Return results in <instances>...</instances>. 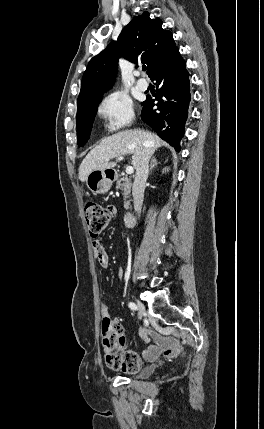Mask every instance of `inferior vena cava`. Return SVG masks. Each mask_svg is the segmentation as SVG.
Returning <instances> with one entry per match:
<instances>
[{
    "label": "inferior vena cava",
    "instance_id": "obj_1",
    "mask_svg": "<svg viewBox=\"0 0 264 429\" xmlns=\"http://www.w3.org/2000/svg\"><path fill=\"white\" fill-rule=\"evenodd\" d=\"M151 155V150L149 148H145L136 167V176L133 183L132 194L134 200V209L137 213H140L143 204L144 189L146 180L148 178V167Z\"/></svg>",
    "mask_w": 264,
    "mask_h": 429
}]
</instances>
